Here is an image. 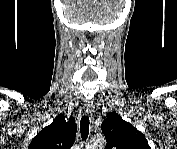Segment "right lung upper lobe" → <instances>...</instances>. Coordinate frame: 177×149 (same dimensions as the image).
I'll return each mask as SVG.
<instances>
[{"label":"right lung upper lobe","instance_id":"right-lung-upper-lobe-1","mask_svg":"<svg viewBox=\"0 0 177 149\" xmlns=\"http://www.w3.org/2000/svg\"><path fill=\"white\" fill-rule=\"evenodd\" d=\"M75 136L74 118L70 117L67 122L64 115L59 114L32 139L29 149H69Z\"/></svg>","mask_w":177,"mask_h":149}]
</instances>
